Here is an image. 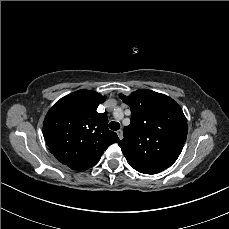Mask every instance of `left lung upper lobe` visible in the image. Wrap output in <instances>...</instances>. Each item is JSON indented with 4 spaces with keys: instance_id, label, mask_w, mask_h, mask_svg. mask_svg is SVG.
Wrapping results in <instances>:
<instances>
[{
    "instance_id": "obj_1",
    "label": "left lung upper lobe",
    "mask_w": 229,
    "mask_h": 229,
    "mask_svg": "<svg viewBox=\"0 0 229 229\" xmlns=\"http://www.w3.org/2000/svg\"><path fill=\"white\" fill-rule=\"evenodd\" d=\"M120 98L131 108V123L124 127L119 146L129 165L144 174L170 167L186 141L187 119L176 101L147 89Z\"/></svg>"
}]
</instances>
